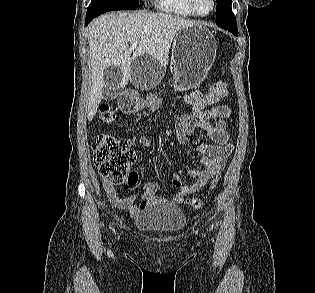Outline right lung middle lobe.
<instances>
[{"label":"right lung middle lobe","mask_w":315,"mask_h":293,"mask_svg":"<svg viewBox=\"0 0 315 293\" xmlns=\"http://www.w3.org/2000/svg\"><path fill=\"white\" fill-rule=\"evenodd\" d=\"M93 1H96V0H93ZM109 1H112L123 7L133 8V9H135L139 4V0H109Z\"/></svg>","instance_id":"dd1d6c3e"}]
</instances>
